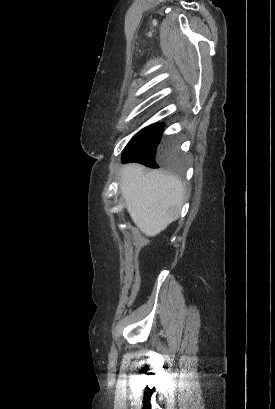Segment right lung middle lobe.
Instances as JSON below:
<instances>
[{"label": "right lung middle lobe", "mask_w": 275, "mask_h": 409, "mask_svg": "<svg viewBox=\"0 0 275 409\" xmlns=\"http://www.w3.org/2000/svg\"><path fill=\"white\" fill-rule=\"evenodd\" d=\"M162 124H154L138 132L126 145L122 162L143 164L144 173H169L172 178H180L185 159L178 153L177 143L167 141L158 146L162 137ZM189 181L188 177L184 178Z\"/></svg>", "instance_id": "obj_1"}]
</instances>
